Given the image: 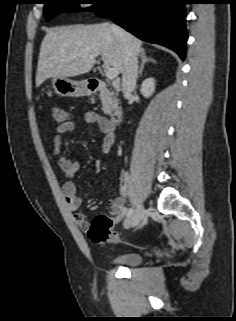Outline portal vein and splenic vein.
<instances>
[{"label":"portal vein and splenic vein","instance_id":"1","mask_svg":"<svg viewBox=\"0 0 236 321\" xmlns=\"http://www.w3.org/2000/svg\"><path fill=\"white\" fill-rule=\"evenodd\" d=\"M105 73H106V77H107L108 79H111V80H112V79H115V78L117 77V75H118L116 69L110 68V67H107V68L105 69Z\"/></svg>","mask_w":236,"mask_h":321}]
</instances>
